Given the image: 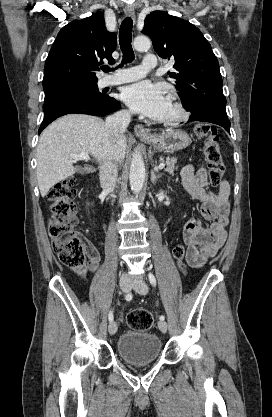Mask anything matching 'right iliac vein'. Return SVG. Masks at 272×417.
Masks as SVG:
<instances>
[{
	"label": "right iliac vein",
	"instance_id": "1",
	"mask_svg": "<svg viewBox=\"0 0 272 417\" xmlns=\"http://www.w3.org/2000/svg\"><path fill=\"white\" fill-rule=\"evenodd\" d=\"M120 288L123 292H129L132 282L129 278L123 277L120 279ZM110 335H114L117 332V323L115 321L110 322L108 326Z\"/></svg>",
	"mask_w": 272,
	"mask_h": 417
}]
</instances>
